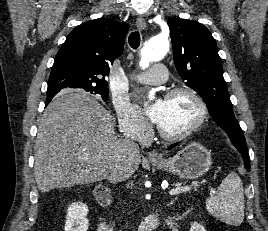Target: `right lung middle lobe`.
Returning <instances> with one entry per match:
<instances>
[{
	"label": "right lung middle lobe",
	"mask_w": 268,
	"mask_h": 231,
	"mask_svg": "<svg viewBox=\"0 0 268 231\" xmlns=\"http://www.w3.org/2000/svg\"><path fill=\"white\" fill-rule=\"evenodd\" d=\"M60 90L61 89H58V88H52V89H48L47 93L48 94L49 93H58ZM86 91L101 95V97L104 101H106L108 99V96H109L108 88H91V89H88Z\"/></svg>",
	"instance_id": "1"
}]
</instances>
